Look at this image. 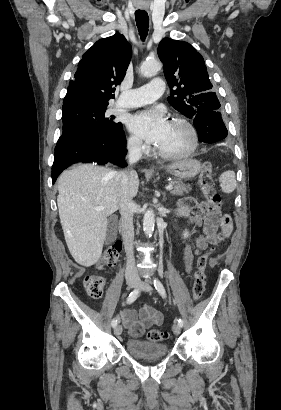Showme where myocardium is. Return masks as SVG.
<instances>
[{
  "instance_id": "myocardium-1",
  "label": "myocardium",
  "mask_w": 281,
  "mask_h": 410,
  "mask_svg": "<svg viewBox=\"0 0 281 410\" xmlns=\"http://www.w3.org/2000/svg\"><path fill=\"white\" fill-rule=\"evenodd\" d=\"M171 122H176L178 124H181L185 128H187V130L189 131L191 135L190 146L181 152H175V153L163 151L160 148H158V146H156V152L158 153L159 156L165 159H179V158H184V157L191 155L197 149L198 144H199V135H198V131L196 127L187 118L182 117V116H174L171 119Z\"/></svg>"
}]
</instances>
